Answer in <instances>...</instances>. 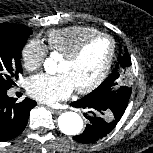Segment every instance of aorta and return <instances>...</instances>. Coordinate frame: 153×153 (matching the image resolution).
<instances>
[{"mask_svg":"<svg viewBox=\"0 0 153 153\" xmlns=\"http://www.w3.org/2000/svg\"><path fill=\"white\" fill-rule=\"evenodd\" d=\"M44 69L48 74H55L57 71V62L49 57L44 61ZM82 117L75 112H64L58 118V127L66 135H77L83 128Z\"/></svg>","mask_w":153,"mask_h":153,"instance_id":"obj_1","label":"aorta"}]
</instances>
